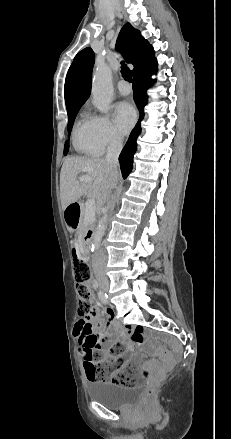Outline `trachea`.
<instances>
[{
    "label": "trachea",
    "mask_w": 231,
    "mask_h": 439,
    "mask_svg": "<svg viewBox=\"0 0 231 439\" xmlns=\"http://www.w3.org/2000/svg\"><path fill=\"white\" fill-rule=\"evenodd\" d=\"M121 73H122V77H123L126 81H128V82H132L131 71H130V69L127 67V65L124 64L123 62H122V65H121Z\"/></svg>",
    "instance_id": "trachea-1"
}]
</instances>
